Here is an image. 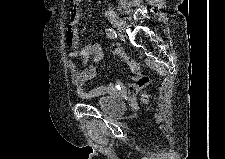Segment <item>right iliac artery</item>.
Returning a JSON list of instances; mask_svg holds the SVG:
<instances>
[{"mask_svg":"<svg viewBox=\"0 0 225 159\" xmlns=\"http://www.w3.org/2000/svg\"><path fill=\"white\" fill-rule=\"evenodd\" d=\"M105 32H106L107 37L110 39H115L117 37L116 32L111 28L105 29Z\"/></svg>","mask_w":225,"mask_h":159,"instance_id":"82829eb1","label":"right iliac artery"}]
</instances>
